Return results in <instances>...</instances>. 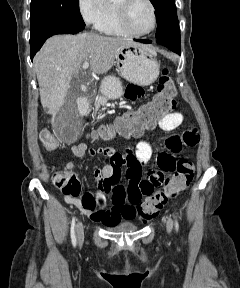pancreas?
<instances>
[{
	"mask_svg": "<svg viewBox=\"0 0 240 288\" xmlns=\"http://www.w3.org/2000/svg\"><path fill=\"white\" fill-rule=\"evenodd\" d=\"M107 102V98L103 97V96H99L96 98L95 100V111H97L101 105H104Z\"/></svg>",
	"mask_w": 240,
	"mask_h": 288,
	"instance_id": "pancreas-1",
	"label": "pancreas"
}]
</instances>
